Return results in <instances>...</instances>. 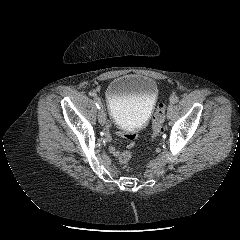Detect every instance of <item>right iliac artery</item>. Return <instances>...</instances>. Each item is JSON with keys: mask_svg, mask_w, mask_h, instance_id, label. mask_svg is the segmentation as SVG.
I'll return each instance as SVG.
<instances>
[{"mask_svg": "<svg viewBox=\"0 0 240 240\" xmlns=\"http://www.w3.org/2000/svg\"><path fill=\"white\" fill-rule=\"evenodd\" d=\"M94 101H95V104H96L97 108L100 109L101 108V100H100V98L95 96L94 97Z\"/></svg>", "mask_w": 240, "mask_h": 240, "instance_id": "82829eb1", "label": "right iliac artery"}]
</instances>
